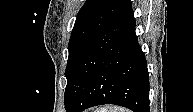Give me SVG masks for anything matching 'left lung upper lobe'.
Instances as JSON below:
<instances>
[{
  "mask_svg": "<svg viewBox=\"0 0 193 112\" xmlns=\"http://www.w3.org/2000/svg\"><path fill=\"white\" fill-rule=\"evenodd\" d=\"M130 0H87L80 9L68 44L65 70L69 80L76 63L88 45L122 12Z\"/></svg>",
  "mask_w": 193,
  "mask_h": 112,
  "instance_id": "obj_1",
  "label": "left lung upper lobe"
}]
</instances>
